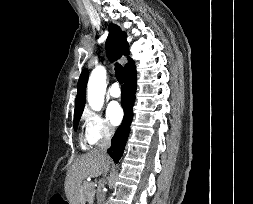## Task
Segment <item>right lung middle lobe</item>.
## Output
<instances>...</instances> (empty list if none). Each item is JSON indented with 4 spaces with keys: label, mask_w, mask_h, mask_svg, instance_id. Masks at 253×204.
I'll return each instance as SVG.
<instances>
[{
    "label": "right lung middle lobe",
    "mask_w": 253,
    "mask_h": 204,
    "mask_svg": "<svg viewBox=\"0 0 253 204\" xmlns=\"http://www.w3.org/2000/svg\"><path fill=\"white\" fill-rule=\"evenodd\" d=\"M81 115H82V114H79V115H77V116L74 117V130H75V131L77 130L78 123H79V120H80Z\"/></svg>",
    "instance_id": "obj_1"
}]
</instances>
